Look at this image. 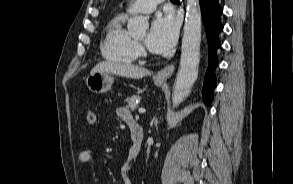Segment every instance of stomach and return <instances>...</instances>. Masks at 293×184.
Returning <instances> with one entry per match:
<instances>
[{
    "label": "stomach",
    "instance_id": "1",
    "mask_svg": "<svg viewBox=\"0 0 293 184\" xmlns=\"http://www.w3.org/2000/svg\"><path fill=\"white\" fill-rule=\"evenodd\" d=\"M114 82V77L108 72H91L86 78L88 89L96 94L105 93L111 89ZM155 85L161 86L163 81L155 80Z\"/></svg>",
    "mask_w": 293,
    "mask_h": 184
}]
</instances>
